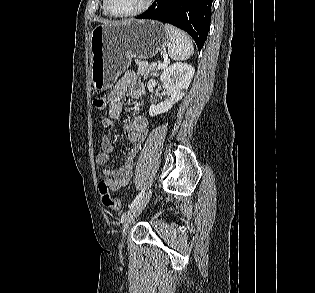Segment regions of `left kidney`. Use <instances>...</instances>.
I'll return each instance as SVG.
<instances>
[{
  "mask_svg": "<svg viewBox=\"0 0 315 293\" xmlns=\"http://www.w3.org/2000/svg\"><path fill=\"white\" fill-rule=\"evenodd\" d=\"M194 68L187 63L177 62L166 68L160 80L167 91L169 98L149 108L150 116H156L169 111L173 104L178 102L188 89L194 75Z\"/></svg>",
  "mask_w": 315,
  "mask_h": 293,
  "instance_id": "obj_1",
  "label": "left kidney"
}]
</instances>
